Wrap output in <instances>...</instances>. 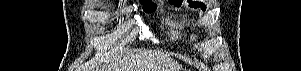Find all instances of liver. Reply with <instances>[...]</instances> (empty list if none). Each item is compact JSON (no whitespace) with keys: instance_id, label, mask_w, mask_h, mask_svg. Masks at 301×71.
Returning a JSON list of instances; mask_svg holds the SVG:
<instances>
[{"instance_id":"liver-1","label":"liver","mask_w":301,"mask_h":71,"mask_svg":"<svg viewBox=\"0 0 301 71\" xmlns=\"http://www.w3.org/2000/svg\"><path fill=\"white\" fill-rule=\"evenodd\" d=\"M182 66L163 54L142 51L103 68L102 71H181Z\"/></svg>"}]
</instances>
